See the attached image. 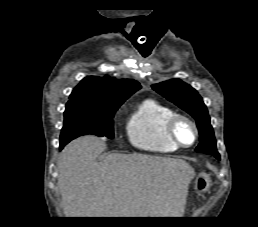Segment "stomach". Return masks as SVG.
Segmentation results:
<instances>
[{"mask_svg": "<svg viewBox=\"0 0 258 227\" xmlns=\"http://www.w3.org/2000/svg\"><path fill=\"white\" fill-rule=\"evenodd\" d=\"M210 185H211V179H210L209 175L202 172L197 175V177L194 181V190L198 194H201V193L207 191L208 188L210 187Z\"/></svg>", "mask_w": 258, "mask_h": 227, "instance_id": "0dacf381", "label": "stomach"}]
</instances>
